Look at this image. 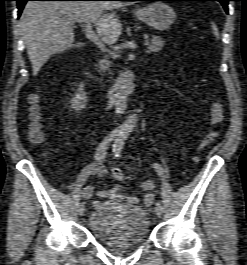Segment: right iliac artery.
Returning a JSON list of instances; mask_svg holds the SVG:
<instances>
[{
    "label": "right iliac artery",
    "mask_w": 247,
    "mask_h": 265,
    "mask_svg": "<svg viewBox=\"0 0 247 265\" xmlns=\"http://www.w3.org/2000/svg\"><path fill=\"white\" fill-rule=\"evenodd\" d=\"M122 133L114 130L112 132H110V134L105 137V139L100 143L99 147L97 148L96 154H95V158L97 161L102 162L105 159L106 156V150L110 144V142H112L114 139H117ZM93 207H96L99 205V201L95 200L92 203Z\"/></svg>",
    "instance_id": "obj_1"
}]
</instances>
